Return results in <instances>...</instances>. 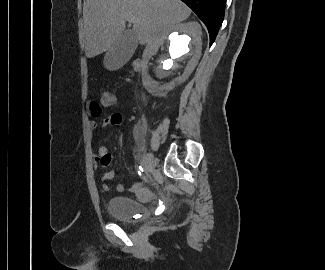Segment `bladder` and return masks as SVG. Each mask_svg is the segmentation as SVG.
I'll return each mask as SVG.
<instances>
[{"label":"bladder","instance_id":"obj_1","mask_svg":"<svg viewBox=\"0 0 325 270\" xmlns=\"http://www.w3.org/2000/svg\"><path fill=\"white\" fill-rule=\"evenodd\" d=\"M109 214L117 220L133 223L146 219L147 207L139 201L127 196H113L107 201Z\"/></svg>","mask_w":325,"mask_h":270}]
</instances>
